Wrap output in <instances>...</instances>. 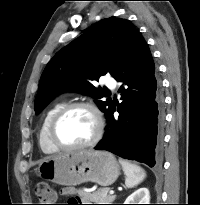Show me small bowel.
Listing matches in <instances>:
<instances>
[{"mask_svg": "<svg viewBox=\"0 0 200 205\" xmlns=\"http://www.w3.org/2000/svg\"><path fill=\"white\" fill-rule=\"evenodd\" d=\"M75 193V190L70 187H65L61 190L62 195H73Z\"/></svg>", "mask_w": 200, "mask_h": 205, "instance_id": "small-bowel-1", "label": "small bowel"}]
</instances>
